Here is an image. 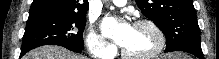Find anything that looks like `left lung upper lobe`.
<instances>
[{
  "label": "left lung upper lobe",
  "instance_id": "1",
  "mask_svg": "<svg viewBox=\"0 0 219 59\" xmlns=\"http://www.w3.org/2000/svg\"><path fill=\"white\" fill-rule=\"evenodd\" d=\"M142 13L166 36V49L183 41H200L192 0H136Z\"/></svg>",
  "mask_w": 219,
  "mask_h": 59
}]
</instances>
